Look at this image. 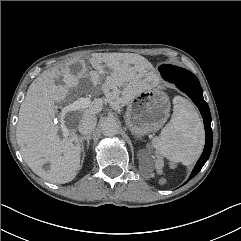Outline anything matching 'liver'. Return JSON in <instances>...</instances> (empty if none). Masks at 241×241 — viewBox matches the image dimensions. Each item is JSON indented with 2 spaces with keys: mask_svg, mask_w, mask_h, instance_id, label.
<instances>
[{
  "mask_svg": "<svg viewBox=\"0 0 241 241\" xmlns=\"http://www.w3.org/2000/svg\"><path fill=\"white\" fill-rule=\"evenodd\" d=\"M95 71L88 72L84 61L77 74L70 72L69 65L62 70L67 78L64 86L56 85L60 74L57 68L44 71L29 86L19 109L16 140L25 163L37 175L46 180L64 184L72 181L80 168V138L73 127L68 136L60 139L59 126L54 123L55 104L64 100L80 80H89L94 87L100 85L107 103L113 110L127 105L141 92L152 87V65L142 56L130 53H94L89 59ZM111 72L105 75V68ZM104 76V81L103 80ZM102 109L100 100H94L90 107L75 110L65 115L64 123H80L84 113L97 114ZM67 113V112H66ZM50 161L48 172L42 169Z\"/></svg>",
  "mask_w": 241,
  "mask_h": 241,
  "instance_id": "6515ba94",
  "label": "liver"
}]
</instances>
